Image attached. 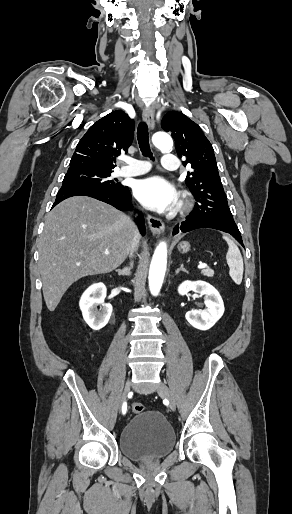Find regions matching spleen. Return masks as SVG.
Returning a JSON list of instances; mask_svg holds the SVG:
<instances>
[{
	"instance_id": "1",
	"label": "spleen",
	"mask_w": 292,
	"mask_h": 514,
	"mask_svg": "<svg viewBox=\"0 0 292 514\" xmlns=\"http://www.w3.org/2000/svg\"><path fill=\"white\" fill-rule=\"evenodd\" d=\"M223 240L228 244V252L226 256L227 264L230 268L229 276L235 284H241L244 272L243 258L239 248L230 240L228 236H223Z\"/></svg>"
}]
</instances>
